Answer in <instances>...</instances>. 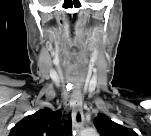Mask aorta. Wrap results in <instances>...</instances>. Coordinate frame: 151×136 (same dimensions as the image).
<instances>
[{
    "label": "aorta",
    "instance_id": "762f6f07",
    "mask_svg": "<svg viewBox=\"0 0 151 136\" xmlns=\"http://www.w3.org/2000/svg\"><path fill=\"white\" fill-rule=\"evenodd\" d=\"M86 135H91V136H95L96 135V133L95 132H87V133H85Z\"/></svg>",
    "mask_w": 151,
    "mask_h": 136
}]
</instances>
